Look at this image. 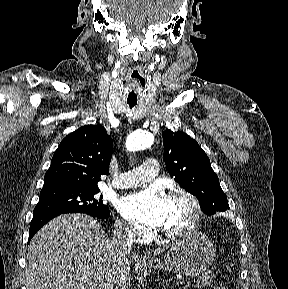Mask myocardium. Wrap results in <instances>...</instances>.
Wrapping results in <instances>:
<instances>
[{
    "label": "myocardium",
    "instance_id": "f54148a6",
    "mask_svg": "<svg viewBox=\"0 0 288 289\" xmlns=\"http://www.w3.org/2000/svg\"><path fill=\"white\" fill-rule=\"evenodd\" d=\"M166 199L185 200L191 208V218L186 227L174 231L162 230V234L171 239H180L194 234L198 229L202 214L201 205L197 197L185 190H173L167 194Z\"/></svg>",
    "mask_w": 288,
    "mask_h": 289
}]
</instances>
